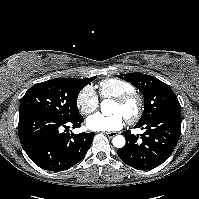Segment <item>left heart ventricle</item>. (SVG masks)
Masks as SVG:
<instances>
[{
	"mask_svg": "<svg viewBox=\"0 0 199 199\" xmlns=\"http://www.w3.org/2000/svg\"><path fill=\"white\" fill-rule=\"evenodd\" d=\"M134 110V104L131 103L127 106H121L118 103L114 102L112 105L111 112L112 113H121L125 117L127 116L128 113L132 112Z\"/></svg>",
	"mask_w": 199,
	"mask_h": 199,
	"instance_id": "1",
	"label": "left heart ventricle"
}]
</instances>
